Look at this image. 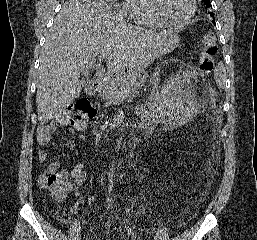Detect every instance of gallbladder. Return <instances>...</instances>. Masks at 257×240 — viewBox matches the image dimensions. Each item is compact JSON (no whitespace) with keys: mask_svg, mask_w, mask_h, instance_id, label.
Listing matches in <instances>:
<instances>
[{"mask_svg":"<svg viewBox=\"0 0 257 240\" xmlns=\"http://www.w3.org/2000/svg\"><path fill=\"white\" fill-rule=\"evenodd\" d=\"M82 86L84 87V86H86L87 85V83H88V80L87 79H82Z\"/></svg>","mask_w":257,"mask_h":240,"instance_id":"bac80fb5","label":"gallbladder"}]
</instances>
